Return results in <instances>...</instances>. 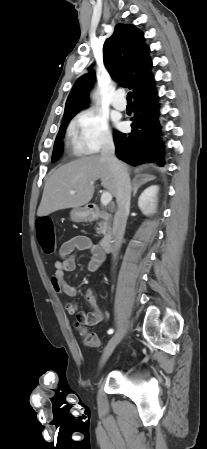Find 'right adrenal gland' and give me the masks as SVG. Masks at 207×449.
Listing matches in <instances>:
<instances>
[{
  "mask_svg": "<svg viewBox=\"0 0 207 449\" xmlns=\"http://www.w3.org/2000/svg\"><path fill=\"white\" fill-rule=\"evenodd\" d=\"M155 177L151 176V175H138L134 178L133 182H132V192H133V197L136 195L137 190L140 186H142L143 184L154 180Z\"/></svg>",
  "mask_w": 207,
  "mask_h": 449,
  "instance_id": "obj_1",
  "label": "right adrenal gland"
}]
</instances>
